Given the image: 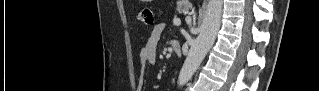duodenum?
<instances>
[{
	"label": "duodenum",
	"instance_id": "1",
	"mask_svg": "<svg viewBox=\"0 0 319 91\" xmlns=\"http://www.w3.org/2000/svg\"><path fill=\"white\" fill-rule=\"evenodd\" d=\"M171 49L175 54L179 55L181 53L180 43L177 40H172Z\"/></svg>",
	"mask_w": 319,
	"mask_h": 91
}]
</instances>
